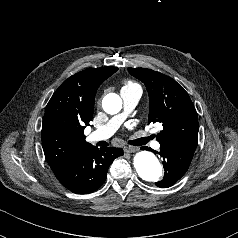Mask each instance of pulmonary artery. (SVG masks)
Segmentation results:
<instances>
[{
  "label": "pulmonary artery",
  "mask_w": 238,
  "mask_h": 238,
  "mask_svg": "<svg viewBox=\"0 0 238 238\" xmlns=\"http://www.w3.org/2000/svg\"><path fill=\"white\" fill-rule=\"evenodd\" d=\"M140 96L141 92L138 90L134 89L121 90V97L124 104V112L112 117L105 125L90 133L88 139L90 141H95V140H105L111 137L119 128V126L123 123V121L126 119L127 114L136 107L140 99ZM152 146L155 149H159L160 143L154 141L152 142Z\"/></svg>",
  "instance_id": "e3ab8cb5"
}]
</instances>
